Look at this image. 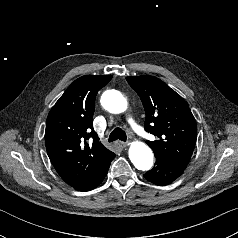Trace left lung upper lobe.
<instances>
[{
	"mask_svg": "<svg viewBox=\"0 0 238 238\" xmlns=\"http://www.w3.org/2000/svg\"><path fill=\"white\" fill-rule=\"evenodd\" d=\"M129 85L145 109V130L158 137L147 141L155 157L188 163L197 139V125L187 102L162 80L153 76H130Z\"/></svg>",
	"mask_w": 238,
	"mask_h": 238,
	"instance_id": "obj_1",
	"label": "left lung upper lobe"
}]
</instances>
